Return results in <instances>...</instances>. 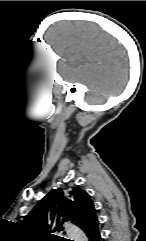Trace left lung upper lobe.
I'll use <instances>...</instances> for the list:
<instances>
[{"instance_id": "5c2ea615", "label": "left lung upper lobe", "mask_w": 146, "mask_h": 241, "mask_svg": "<svg viewBox=\"0 0 146 241\" xmlns=\"http://www.w3.org/2000/svg\"><path fill=\"white\" fill-rule=\"evenodd\" d=\"M67 220L82 230L97 220L90 196L78 187L52 190L25 216L21 224L39 241H63L66 239L55 233L63 230V222Z\"/></svg>"}]
</instances>
